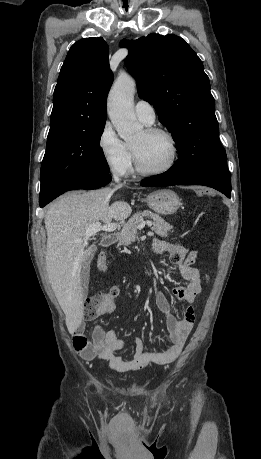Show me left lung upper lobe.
Returning <instances> with one entry per match:
<instances>
[{
    "instance_id": "obj_1",
    "label": "left lung upper lobe",
    "mask_w": 261,
    "mask_h": 459,
    "mask_svg": "<svg viewBox=\"0 0 261 459\" xmlns=\"http://www.w3.org/2000/svg\"><path fill=\"white\" fill-rule=\"evenodd\" d=\"M126 58L139 97L154 105L179 150L173 169L182 174L226 161L215 102L204 67L180 37L150 34L133 41Z\"/></svg>"
}]
</instances>
